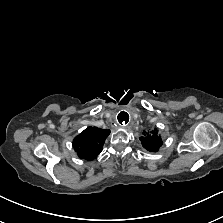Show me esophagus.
Listing matches in <instances>:
<instances>
[{
	"mask_svg": "<svg viewBox=\"0 0 223 223\" xmlns=\"http://www.w3.org/2000/svg\"><path fill=\"white\" fill-rule=\"evenodd\" d=\"M116 121H117L118 125H120L122 127H126V126L130 125L132 118L128 111L121 110L116 115Z\"/></svg>",
	"mask_w": 223,
	"mask_h": 223,
	"instance_id": "1",
	"label": "esophagus"
}]
</instances>
